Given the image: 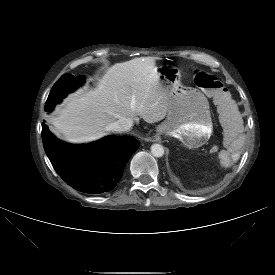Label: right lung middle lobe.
<instances>
[{"mask_svg": "<svg viewBox=\"0 0 275 275\" xmlns=\"http://www.w3.org/2000/svg\"><path fill=\"white\" fill-rule=\"evenodd\" d=\"M83 81V76L74 78L69 74L63 75L52 87L45 104V111H52L56 103H59L67 93L74 91Z\"/></svg>", "mask_w": 275, "mask_h": 275, "instance_id": "right-lung-middle-lobe-1", "label": "right lung middle lobe"}]
</instances>
